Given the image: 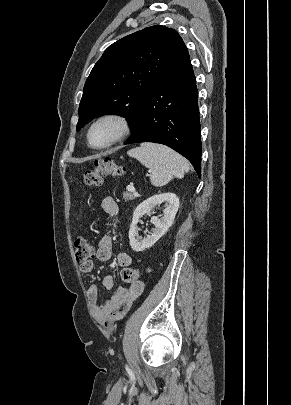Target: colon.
I'll return each mask as SVG.
<instances>
[{
    "label": "colon",
    "mask_w": 291,
    "mask_h": 405,
    "mask_svg": "<svg viewBox=\"0 0 291 405\" xmlns=\"http://www.w3.org/2000/svg\"><path fill=\"white\" fill-rule=\"evenodd\" d=\"M125 167L116 164L111 159H102L95 162L94 168L84 174V183L88 186H99L105 175L121 176ZM75 256L79 263L88 261L93 255V246L85 238H78L75 243ZM142 274L139 269L125 268L121 272V278L125 283L137 282Z\"/></svg>",
    "instance_id": "obj_1"
}]
</instances>
